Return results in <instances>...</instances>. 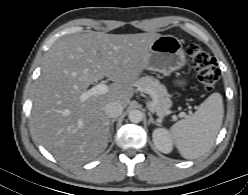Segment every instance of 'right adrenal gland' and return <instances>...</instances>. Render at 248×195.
Listing matches in <instances>:
<instances>
[{
    "label": "right adrenal gland",
    "mask_w": 248,
    "mask_h": 195,
    "mask_svg": "<svg viewBox=\"0 0 248 195\" xmlns=\"http://www.w3.org/2000/svg\"><path fill=\"white\" fill-rule=\"evenodd\" d=\"M116 120H117V119H112L111 122H110L111 132H110L109 141H111L112 133H113V131H114V122H115Z\"/></svg>",
    "instance_id": "1"
}]
</instances>
